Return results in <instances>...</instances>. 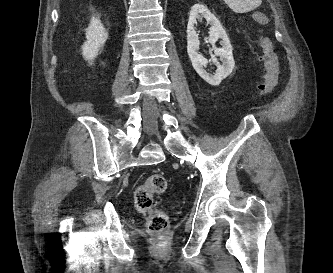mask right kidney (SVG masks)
<instances>
[{"instance_id":"ca27d5eb","label":"right kidney","mask_w":333,"mask_h":273,"mask_svg":"<svg viewBox=\"0 0 333 273\" xmlns=\"http://www.w3.org/2000/svg\"><path fill=\"white\" fill-rule=\"evenodd\" d=\"M108 38V33L105 31L99 19L93 18L89 27L86 29L87 41L82 46V55L85 60L92 62L98 55L99 49L104 45ZM91 64V63H90Z\"/></svg>"}]
</instances>
